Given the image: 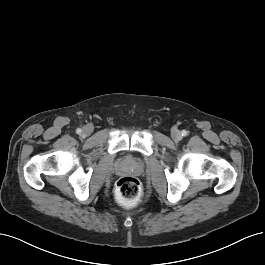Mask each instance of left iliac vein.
I'll use <instances>...</instances> for the list:
<instances>
[{
	"label": "left iliac vein",
	"mask_w": 265,
	"mask_h": 265,
	"mask_svg": "<svg viewBox=\"0 0 265 265\" xmlns=\"http://www.w3.org/2000/svg\"><path fill=\"white\" fill-rule=\"evenodd\" d=\"M171 136H172V138H173L174 140H176V141H179V140L182 138V136H181V132H180L179 130H176V129H174V130L172 131Z\"/></svg>",
	"instance_id": "left-iliac-vein-1"
}]
</instances>
